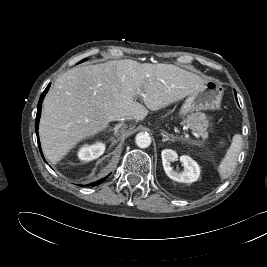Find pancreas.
I'll return each mask as SVG.
<instances>
[{
	"instance_id": "obj_1",
	"label": "pancreas",
	"mask_w": 267,
	"mask_h": 267,
	"mask_svg": "<svg viewBox=\"0 0 267 267\" xmlns=\"http://www.w3.org/2000/svg\"><path fill=\"white\" fill-rule=\"evenodd\" d=\"M190 127L191 130L197 132L203 138L208 136L205 124L201 121L198 114L193 113L187 116V118L182 122Z\"/></svg>"
}]
</instances>
